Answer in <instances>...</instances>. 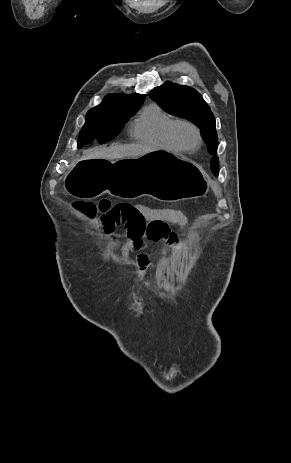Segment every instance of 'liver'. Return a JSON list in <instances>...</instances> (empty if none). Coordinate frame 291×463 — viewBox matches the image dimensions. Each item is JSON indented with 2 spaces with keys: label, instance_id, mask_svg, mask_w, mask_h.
Wrapping results in <instances>:
<instances>
[{
  "label": "liver",
  "instance_id": "obj_1",
  "mask_svg": "<svg viewBox=\"0 0 291 463\" xmlns=\"http://www.w3.org/2000/svg\"><path fill=\"white\" fill-rule=\"evenodd\" d=\"M151 146L132 144V145H114L112 147H100L87 150L81 160H119L123 158H136L148 152L154 151Z\"/></svg>",
  "mask_w": 291,
  "mask_h": 463
}]
</instances>
